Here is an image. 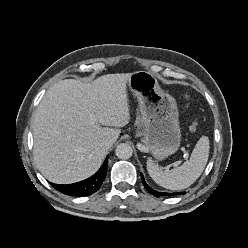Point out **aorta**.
Wrapping results in <instances>:
<instances>
[{"label": "aorta", "instance_id": "762f6f07", "mask_svg": "<svg viewBox=\"0 0 248 248\" xmlns=\"http://www.w3.org/2000/svg\"><path fill=\"white\" fill-rule=\"evenodd\" d=\"M115 154L120 159H129L133 154V150L129 144L121 143L116 147Z\"/></svg>", "mask_w": 248, "mask_h": 248}]
</instances>
